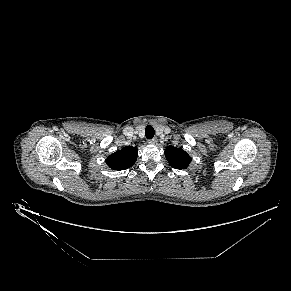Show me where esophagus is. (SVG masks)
Listing matches in <instances>:
<instances>
[{
    "mask_svg": "<svg viewBox=\"0 0 291 291\" xmlns=\"http://www.w3.org/2000/svg\"><path fill=\"white\" fill-rule=\"evenodd\" d=\"M157 142H158V140L156 138H153V139H149L148 140V143L149 144H153V145L157 144Z\"/></svg>",
    "mask_w": 291,
    "mask_h": 291,
    "instance_id": "obj_1",
    "label": "esophagus"
}]
</instances>
